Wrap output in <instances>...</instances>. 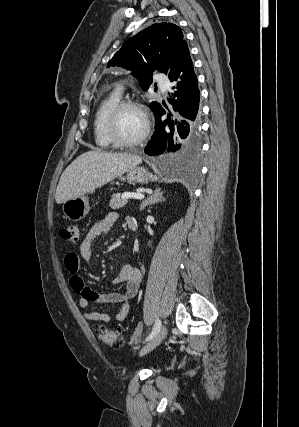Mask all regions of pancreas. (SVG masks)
Wrapping results in <instances>:
<instances>
[{
	"label": "pancreas",
	"instance_id": "obj_1",
	"mask_svg": "<svg viewBox=\"0 0 299 427\" xmlns=\"http://www.w3.org/2000/svg\"><path fill=\"white\" fill-rule=\"evenodd\" d=\"M128 202V199H123L120 194H114L110 200V208L111 209H119L125 206Z\"/></svg>",
	"mask_w": 299,
	"mask_h": 427
}]
</instances>
